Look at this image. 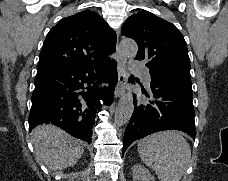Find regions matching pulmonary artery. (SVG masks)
Masks as SVG:
<instances>
[{"label":"pulmonary artery","instance_id":"1","mask_svg":"<svg viewBox=\"0 0 228 181\" xmlns=\"http://www.w3.org/2000/svg\"><path fill=\"white\" fill-rule=\"evenodd\" d=\"M132 71H146V66H132ZM146 84L149 85V78H145Z\"/></svg>","mask_w":228,"mask_h":181}]
</instances>
